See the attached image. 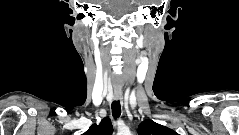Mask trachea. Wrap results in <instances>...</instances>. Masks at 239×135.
Wrapping results in <instances>:
<instances>
[{"instance_id":"3493384b","label":"trachea","mask_w":239,"mask_h":135,"mask_svg":"<svg viewBox=\"0 0 239 135\" xmlns=\"http://www.w3.org/2000/svg\"><path fill=\"white\" fill-rule=\"evenodd\" d=\"M112 115L115 119L119 118L121 115V105L119 100L112 102Z\"/></svg>"}]
</instances>
